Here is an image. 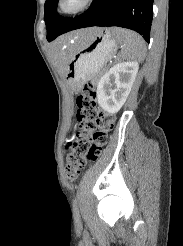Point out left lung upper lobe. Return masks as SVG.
Masks as SVG:
<instances>
[{
  "instance_id": "left-lung-upper-lobe-1",
  "label": "left lung upper lobe",
  "mask_w": 183,
  "mask_h": 246,
  "mask_svg": "<svg viewBox=\"0 0 183 246\" xmlns=\"http://www.w3.org/2000/svg\"><path fill=\"white\" fill-rule=\"evenodd\" d=\"M58 0H46L44 20L47 26V40L50 42L58 37L71 18H63L56 12Z\"/></svg>"
}]
</instances>
